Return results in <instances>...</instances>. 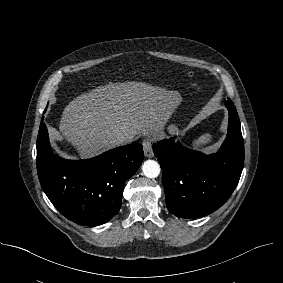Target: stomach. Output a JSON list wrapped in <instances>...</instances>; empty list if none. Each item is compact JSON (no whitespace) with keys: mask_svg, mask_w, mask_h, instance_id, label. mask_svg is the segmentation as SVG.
Returning a JSON list of instances; mask_svg holds the SVG:
<instances>
[{"mask_svg":"<svg viewBox=\"0 0 283 283\" xmlns=\"http://www.w3.org/2000/svg\"><path fill=\"white\" fill-rule=\"evenodd\" d=\"M167 131L170 135H175L179 132L178 128L176 125L174 124H170L168 127H167Z\"/></svg>","mask_w":283,"mask_h":283,"instance_id":"stomach-1","label":"stomach"}]
</instances>
